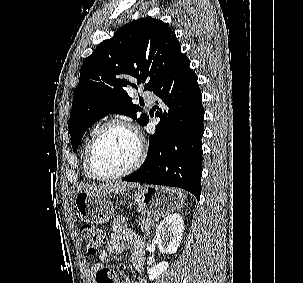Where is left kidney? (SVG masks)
<instances>
[{
  "mask_svg": "<svg viewBox=\"0 0 303 283\" xmlns=\"http://www.w3.org/2000/svg\"><path fill=\"white\" fill-rule=\"evenodd\" d=\"M184 221L179 214H173L166 217L158 225L155 238L159 250L164 254H173L177 251L183 237ZM169 267L168 262L162 261L154 267L147 268L149 279H157L166 272Z\"/></svg>",
  "mask_w": 303,
  "mask_h": 283,
  "instance_id": "1",
  "label": "left kidney"
}]
</instances>
